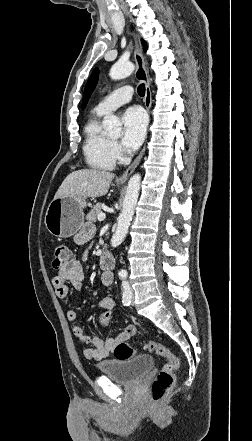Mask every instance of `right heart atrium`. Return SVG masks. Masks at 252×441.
Masks as SVG:
<instances>
[{
    "label": "right heart atrium",
    "instance_id": "1",
    "mask_svg": "<svg viewBox=\"0 0 252 441\" xmlns=\"http://www.w3.org/2000/svg\"><path fill=\"white\" fill-rule=\"evenodd\" d=\"M112 151L117 160L123 159L124 151L121 146L115 141L112 142Z\"/></svg>",
    "mask_w": 252,
    "mask_h": 441
}]
</instances>
